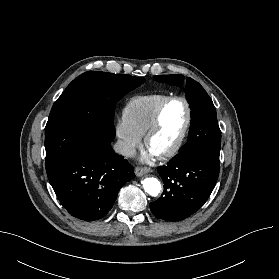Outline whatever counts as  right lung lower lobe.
<instances>
[{
	"label": "right lung lower lobe",
	"instance_id": "right-lung-lower-lobe-1",
	"mask_svg": "<svg viewBox=\"0 0 279 279\" xmlns=\"http://www.w3.org/2000/svg\"><path fill=\"white\" fill-rule=\"evenodd\" d=\"M134 177L133 167L110 143L91 140L68 153L48 176L61 204L84 221L104 217L120 188Z\"/></svg>",
	"mask_w": 279,
	"mask_h": 279
}]
</instances>
